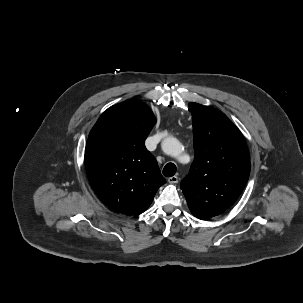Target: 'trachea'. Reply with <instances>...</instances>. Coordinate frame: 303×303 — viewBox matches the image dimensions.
Returning a JSON list of instances; mask_svg holds the SVG:
<instances>
[{
    "mask_svg": "<svg viewBox=\"0 0 303 303\" xmlns=\"http://www.w3.org/2000/svg\"><path fill=\"white\" fill-rule=\"evenodd\" d=\"M176 173V165L174 163H167L163 169V175L172 177Z\"/></svg>",
    "mask_w": 303,
    "mask_h": 303,
    "instance_id": "obj_1",
    "label": "trachea"
}]
</instances>
